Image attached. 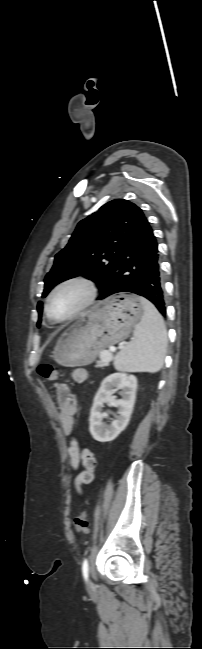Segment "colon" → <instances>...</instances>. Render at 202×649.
Listing matches in <instances>:
<instances>
[{
  "mask_svg": "<svg viewBox=\"0 0 202 649\" xmlns=\"http://www.w3.org/2000/svg\"><path fill=\"white\" fill-rule=\"evenodd\" d=\"M40 376L48 381H55L60 377V370L52 364L44 363L38 367ZM74 529L77 534H84L88 531V519L86 510L82 511L74 519Z\"/></svg>",
  "mask_w": 202,
  "mask_h": 649,
  "instance_id": "5ec220e1",
  "label": "colon"
}]
</instances>
